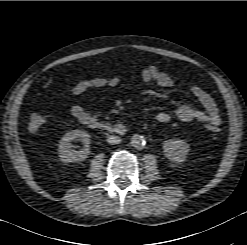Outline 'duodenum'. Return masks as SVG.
Masks as SVG:
<instances>
[{
	"label": "duodenum",
	"instance_id": "duodenum-1",
	"mask_svg": "<svg viewBox=\"0 0 247 245\" xmlns=\"http://www.w3.org/2000/svg\"><path fill=\"white\" fill-rule=\"evenodd\" d=\"M93 127L96 130L110 132V133H114V134H122L123 133V128L121 126H115V125H112L110 123H95V124H93Z\"/></svg>",
	"mask_w": 247,
	"mask_h": 245
}]
</instances>
